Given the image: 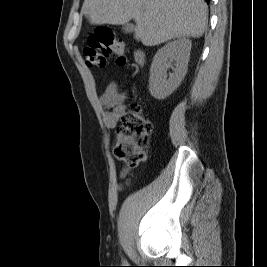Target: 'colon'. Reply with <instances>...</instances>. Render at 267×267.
Here are the masks:
<instances>
[{
    "label": "colon",
    "mask_w": 267,
    "mask_h": 267,
    "mask_svg": "<svg viewBox=\"0 0 267 267\" xmlns=\"http://www.w3.org/2000/svg\"><path fill=\"white\" fill-rule=\"evenodd\" d=\"M83 53L85 62L90 67H105L112 54L116 55L119 66L127 63L124 42L116 38L109 28L96 29L88 38ZM151 132L152 124L145 118L141 106L132 104L117 130L115 157L129 169L138 166L145 159Z\"/></svg>",
    "instance_id": "1"
}]
</instances>
